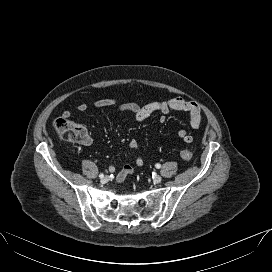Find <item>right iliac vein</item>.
I'll return each mask as SVG.
<instances>
[{"label": "right iliac vein", "mask_w": 272, "mask_h": 272, "mask_svg": "<svg viewBox=\"0 0 272 272\" xmlns=\"http://www.w3.org/2000/svg\"><path fill=\"white\" fill-rule=\"evenodd\" d=\"M109 181V176H105L101 179L102 183H107Z\"/></svg>", "instance_id": "obj_1"}]
</instances>
